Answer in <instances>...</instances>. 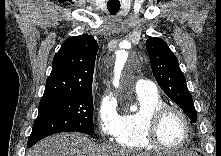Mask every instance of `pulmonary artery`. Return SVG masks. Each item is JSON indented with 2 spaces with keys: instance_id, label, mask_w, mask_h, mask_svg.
Masks as SVG:
<instances>
[{
  "instance_id": "1",
  "label": "pulmonary artery",
  "mask_w": 221,
  "mask_h": 156,
  "mask_svg": "<svg viewBox=\"0 0 221 156\" xmlns=\"http://www.w3.org/2000/svg\"><path fill=\"white\" fill-rule=\"evenodd\" d=\"M135 89H136V92H139V93L156 92L155 84L149 80H146V79L138 80L136 82Z\"/></svg>"
}]
</instances>
